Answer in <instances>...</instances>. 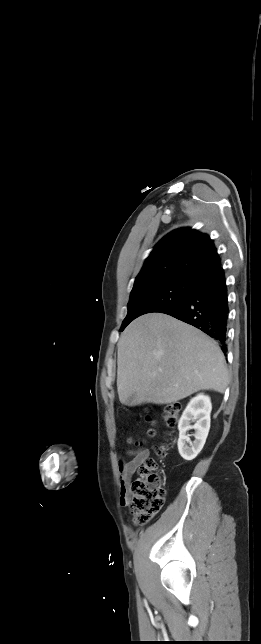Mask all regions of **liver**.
Returning <instances> with one entry per match:
<instances>
[{
  "label": "liver",
  "mask_w": 261,
  "mask_h": 644,
  "mask_svg": "<svg viewBox=\"0 0 261 644\" xmlns=\"http://www.w3.org/2000/svg\"><path fill=\"white\" fill-rule=\"evenodd\" d=\"M117 347V390L122 404H169L200 390L224 393L229 382L217 343L166 314L135 319L121 334Z\"/></svg>",
  "instance_id": "6515ba94"
}]
</instances>
